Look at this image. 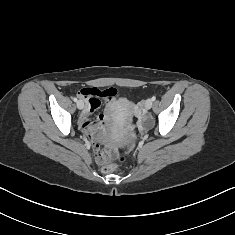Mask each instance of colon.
Listing matches in <instances>:
<instances>
[{"label":"colon","instance_id":"colon-1","mask_svg":"<svg viewBox=\"0 0 235 235\" xmlns=\"http://www.w3.org/2000/svg\"><path fill=\"white\" fill-rule=\"evenodd\" d=\"M116 93V90L113 88L105 89L101 92V96L104 98L112 97ZM130 146L125 153H120L116 155V159L119 164H125L127 162V153L131 149ZM95 156L97 162L102 165V170L105 173H110L115 170L116 165L110 163L111 159L113 158V153L110 149H104L100 146H95Z\"/></svg>","mask_w":235,"mask_h":235}]
</instances>
